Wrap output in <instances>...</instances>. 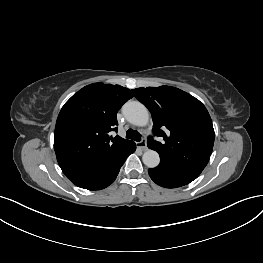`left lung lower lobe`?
I'll return each mask as SVG.
<instances>
[{
    "mask_svg": "<svg viewBox=\"0 0 263 263\" xmlns=\"http://www.w3.org/2000/svg\"><path fill=\"white\" fill-rule=\"evenodd\" d=\"M148 173L151 179L165 188L184 186L199 176V172L186 170L160 162L156 168H150Z\"/></svg>",
    "mask_w": 263,
    "mask_h": 263,
    "instance_id": "1",
    "label": "left lung lower lobe"
}]
</instances>
